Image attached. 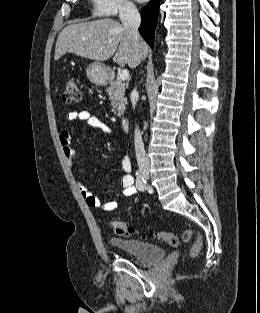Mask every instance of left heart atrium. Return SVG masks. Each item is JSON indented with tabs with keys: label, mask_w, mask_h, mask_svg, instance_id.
<instances>
[{
	"label": "left heart atrium",
	"mask_w": 260,
	"mask_h": 313,
	"mask_svg": "<svg viewBox=\"0 0 260 313\" xmlns=\"http://www.w3.org/2000/svg\"><path fill=\"white\" fill-rule=\"evenodd\" d=\"M139 2H144V1H146V0H138Z\"/></svg>",
	"instance_id": "1"
}]
</instances>
